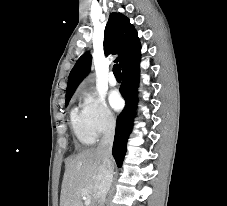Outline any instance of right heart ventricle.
<instances>
[{
  "instance_id": "e07e8e85",
  "label": "right heart ventricle",
  "mask_w": 227,
  "mask_h": 206,
  "mask_svg": "<svg viewBox=\"0 0 227 206\" xmlns=\"http://www.w3.org/2000/svg\"><path fill=\"white\" fill-rule=\"evenodd\" d=\"M71 123L77 139L82 144L89 145L93 143L94 137L88 131L84 123L82 114L79 113L76 109H73L71 112Z\"/></svg>"
}]
</instances>
